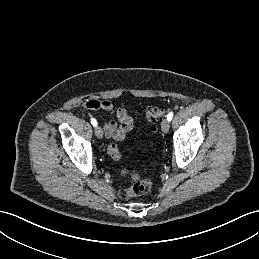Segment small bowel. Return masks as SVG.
<instances>
[{"label": "small bowel", "instance_id": "c3829d8e", "mask_svg": "<svg viewBox=\"0 0 259 259\" xmlns=\"http://www.w3.org/2000/svg\"><path fill=\"white\" fill-rule=\"evenodd\" d=\"M83 106L90 110L105 111L114 116L104 124V133L107 137L117 141L123 140L133 128V119L124 108H115L110 101L88 99Z\"/></svg>", "mask_w": 259, "mask_h": 259}]
</instances>
